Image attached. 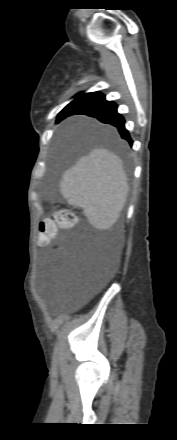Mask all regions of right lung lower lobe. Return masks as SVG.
<instances>
[{"instance_id":"98d812e1","label":"right lung lower lobe","mask_w":177,"mask_h":440,"mask_svg":"<svg viewBox=\"0 0 177 440\" xmlns=\"http://www.w3.org/2000/svg\"><path fill=\"white\" fill-rule=\"evenodd\" d=\"M74 114H85L95 117L102 123L111 124L117 127L121 137L132 145L133 141L125 128V120L123 116L117 112V105L114 102L103 99L79 110Z\"/></svg>"}]
</instances>
